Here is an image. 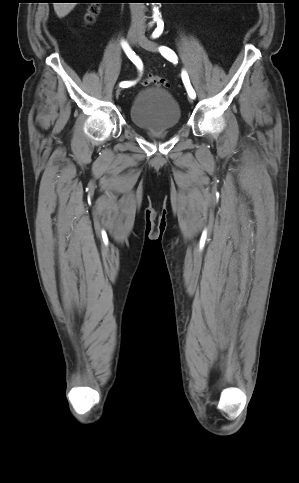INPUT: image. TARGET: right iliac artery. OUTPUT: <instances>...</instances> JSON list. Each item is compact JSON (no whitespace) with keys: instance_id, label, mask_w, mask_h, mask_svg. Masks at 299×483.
I'll return each mask as SVG.
<instances>
[{"instance_id":"right-iliac-artery-1","label":"right iliac artery","mask_w":299,"mask_h":483,"mask_svg":"<svg viewBox=\"0 0 299 483\" xmlns=\"http://www.w3.org/2000/svg\"><path fill=\"white\" fill-rule=\"evenodd\" d=\"M122 46L128 58L137 66L139 70H142V62L140 58L135 54L134 51L131 50V48L128 46L127 43L123 42ZM134 84L135 82H132V81H123L120 83V87L128 88Z\"/></svg>"}]
</instances>
